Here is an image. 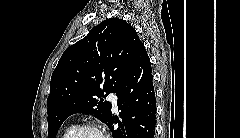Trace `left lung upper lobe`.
<instances>
[{
  "instance_id": "1",
  "label": "left lung upper lobe",
  "mask_w": 240,
  "mask_h": 138,
  "mask_svg": "<svg viewBox=\"0 0 240 138\" xmlns=\"http://www.w3.org/2000/svg\"><path fill=\"white\" fill-rule=\"evenodd\" d=\"M141 46L130 24L109 18L68 47L51 77L48 137L55 138L63 121L74 113L94 114L106 124L112 115L111 104L101 97L117 92Z\"/></svg>"
}]
</instances>
